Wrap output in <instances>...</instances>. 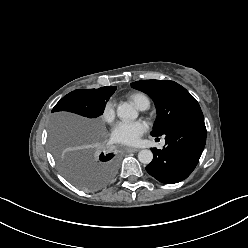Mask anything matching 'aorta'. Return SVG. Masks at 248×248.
Returning <instances> with one entry per match:
<instances>
[{
  "label": "aorta",
  "instance_id": "aorta-1",
  "mask_svg": "<svg viewBox=\"0 0 248 248\" xmlns=\"http://www.w3.org/2000/svg\"><path fill=\"white\" fill-rule=\"evenodd\" d=\"M117 116L123 120L136 119L138 112L128 103H122L117 108ZM153 159L151 150L144 149L139 151L138 160L143 164H149Z\"/></svg>",
  "mask_w": 248,
  "mask_h": 248
}]
</instances>
